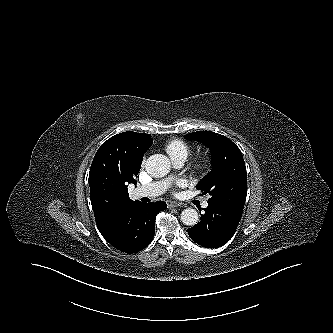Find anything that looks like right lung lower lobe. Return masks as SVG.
I'll return each mask as SVG.
<instances>
[{"instance_id": "right-lung-lower-lobe-1", "label": "right lung lower lobe", "mask_w": 333, "mask_h": 333, "mask_svg": "<svg viewBox=\"0 0 333 333\" xmlns=\"http://www.w3.org/2000/svg\"><path fill=\"white\" fill-rule=\"evenodd\" d=\"M165 209V202H134L121 212L113 229L104 238L122 252H138L152 241L156 215Z\"/></svg>"}]
</instances>
